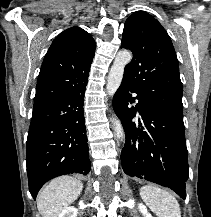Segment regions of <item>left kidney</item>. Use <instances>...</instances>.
Here are the masks:
<instances>
[{
	"label": "left kidney",
	"instance_id": "5707ae66",
	"mask_svg": "<svg viewBox=\"0 0 211 217\" xmlns=\"http://www.w3.org/2000/svg\"><path fill=\"white\" fill-rule=\"evenodd\" d=\"M138 208H139L140 212L144 215V217H152V216L148 213L146 207H145L143 204H139V205H138Z\"/></svg>",
	"mask_w": 211,
	"mask_h": 217
}]
</instances>
